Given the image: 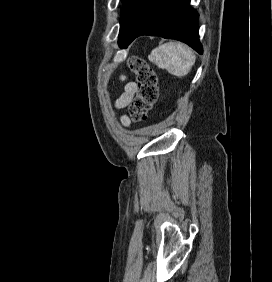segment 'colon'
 Returning a JSON list of instances; mask_svg holds the SVG:
<instances>
[{
    "label": "colon",
    "mask_w": 272,
    "mask_h": 282,
    "mask_svg": "<svg viewBox=\"0 0 272 282\" xmlns=\"http://www.w3.org/2000/svg\"><path fill=\"white\" fill-rule=\"evenodd\" d=\"M130 70L136 75V95L130 104V116L134 121L148 117L158 96V76L143 59L133 57L129 63Z\"/></svg>",
    "instance_id": "obj_1"
}]
</instances>
